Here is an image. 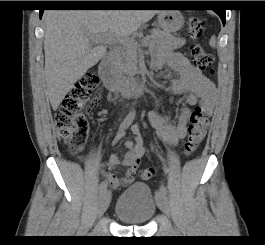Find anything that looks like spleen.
Returning a JSON list of instances; mask_svg holds the SVG:
<instances>
[{"mask_svg":"<svg viewBox=\"0 0 265 245\" xmlns=\"http://www.w3.org/2000/svg\"><path fill=\"white\" fill-rule=\"evenodd\" d=\"M210 45H211L212 47H215V46H216V39H215V37H212V38H211V40H210Z\"/></svg>","mask_w":265,"mask_h":245,"instance_id":"1","label":"spleen"}]
</instances>
